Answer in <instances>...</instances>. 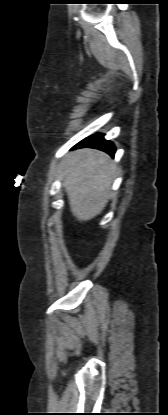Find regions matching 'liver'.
<instances>
[{"instance_id": "6515ba94", "label": "liver", "mask_w": 168, "mask_h": 415, "mask_svg": "<svg viewBox=\"0 0 168 415\" xmlns=\"http://www.w3.org/2000/svg\"><path fill=\"white\" fill-rule=\"evenodd\" d=\"M116 166L101 151L79 149L67 154L64 160L63 186L70 210L80 222L99 215L111 195Z\"/></svg>"}]
</instances>
